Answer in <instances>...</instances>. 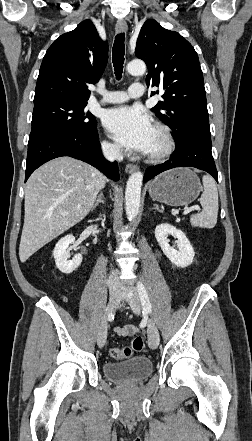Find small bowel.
<instances>
[{
  "label": "small bowel",
  "instance_id": "obj_1",
  "mask_svg": "<svg viewBox=\"0 0 252 441\" xmlns=\"http://www.w3.org/2000/svg\"><path fill=\"white\" fill-rule=\"evenodd\" d=\"M114 332L121 337H131L138 332V329L133 325H125L123 327H115Z\"/></svg>",
  "mask_w": 252,
  "mask_h": 441
}]
</instances>
